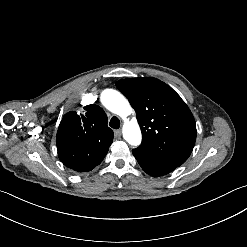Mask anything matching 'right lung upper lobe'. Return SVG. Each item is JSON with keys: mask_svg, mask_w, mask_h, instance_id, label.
I'll return each mask as SVG.
<instances>
[{"mask_svg": "<svg viewBox=\"0 0 247 247\" xmlns=\"http://www.w3.org/2000/svg\"><path fill=\"white\" fill-rule=\"evenodd\" d=\"M84 110L80 115L75 111L65 114L56 136L60 161L78 172L91 171L99 165L113 142L104 110L95 104Z\"/></svg>", "mask_w": 247, "mask_h": 247, "instance_id": "1", "label": "right lung upper lobe"}]
</instances>
